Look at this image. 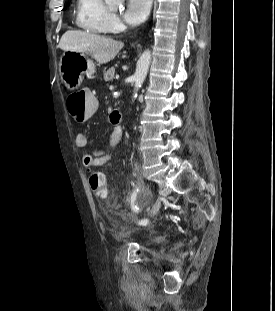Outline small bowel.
<instances>
[{
  "mask_svg": "<svg viewBox=\"0 0 275 311\" xmlns=\"http://www.w3.org/2000/svg\"><path fill=\"white\" fill-rule=\"evenodd\" d=\"M120 117L119 113H114L110 114L109 119H107V126H113V129L104 149L82 154V163L86 168L99 167L110 161L112 157V149L119 144L122 138V119H120ZM75 145L79 148H84L87 145V136L85 133L78 132L76 134Z\"/></svg>",
  "mask_w": 275,
  "mask_h": 311,
  "instance_id": "1",
  "label": "small bowel"
}]
</instances>
